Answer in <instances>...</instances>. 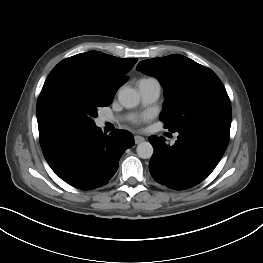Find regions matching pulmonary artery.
I'll return each instance as SVG.
<instances>
[{"label":"pulmonary artery","mask_w":263,"mask_h":263,"mask_svg":"<svg viewBox=\"0 0 263 263\" xmlns=\"http://www.w3.org/2000/svg\"><path fill=\"white\" fill-rule=\"evenodd\" d=\"M137 89L144 105H150L156 102L160 96L161 85L155 78H143L138 81ZM102 122L114 121L112 117H102Z\"/></svg>","instance_id":"e3ab8cb5"}]
</instances>
